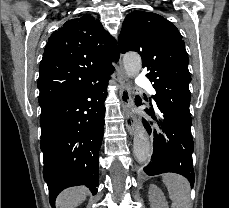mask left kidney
I'll use <instances>...</instances> for the list:
<instances>
[{
  "label": "left kidney",
  "instance_id": "5707ae66",
  "mask_svg": "<svg viewBox=\"0 0 229 208\" xmlns=\"http://www.w3.org/2000/svg\"><path fill=\"white\" fill-rule=\"evenodd\" d=\"M149 202H151V208H168V202H166L162 190L154 186V184H150Z\"/></svg>",
  "mask_w": 229,
  "mask_h": 208
}]
</instances>
